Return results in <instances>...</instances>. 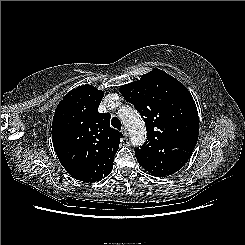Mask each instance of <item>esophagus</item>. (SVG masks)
<instances>
[{"label": "esophagus", "instance_id": "1", "mask_svg": "<svg viewBox=\"0 0 245 245\" xmlns=\"http://www.w3.org/2000/svg\"><path fill=\"white\" fill-rule=\"evenodd\" d=\"M121 132H122V134H123V136H124L125 138L128 137V132H127L126 128L123 127L122 130H121Z\"/></svg>", "mask_w": 245, "mask_h": 245}]
</instances>
